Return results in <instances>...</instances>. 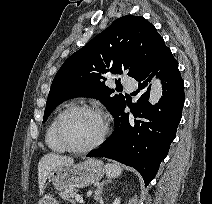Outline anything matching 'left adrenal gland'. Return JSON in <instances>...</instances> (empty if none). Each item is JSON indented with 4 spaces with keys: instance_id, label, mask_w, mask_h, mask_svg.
<instances>
[{
    "instance_id": "1",
    "label": "left adrenal gland",
    "mask_w": 212,
    "mask_h": 204,
    "mask_svg": "<svg viewBox=\"0 0 212 204\" xmlns=\"http://www.w3.org/2000/svg\"><path fill=\"white\" fill-rule=\"evenodd\" d=\"M107 183H108V181H103V182H101V184L97 187V189H96V191H95V200H96V201H99V200H100V198H101V193H102V191H103V187H104V185L107 184Z\"/></svg>"
}]
</instances>
